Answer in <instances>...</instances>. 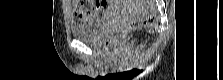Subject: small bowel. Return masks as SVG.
Listing matches in <instances>:
<instances>
[{"label": "small bowel", "instance_id": "small-bowel-1", "mask_svg": "<svg viewBox=\"0 0 223 80\" xmlns=\"http://www.w3.org/2000/svg\"><path fill=\"white\" fill-rule=\"evenodd\" d=\"M112 5L111 1L97 2L96 4L90 3L89 5L72 2L73 12L80 20L96 19L102 13L110 10Z\"/></svg>", "mask_w": 223, "mask_h": 80}]
</instances>
